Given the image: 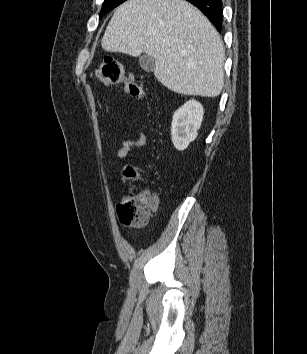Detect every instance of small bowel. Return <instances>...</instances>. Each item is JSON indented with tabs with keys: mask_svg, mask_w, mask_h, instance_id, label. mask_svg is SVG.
<instances>
[{
	"mask_svg": "<svg viewBox=\"0 0 307 354\" xmlns=\"http://www.w3.org/2000/svg\"><path fill=\"white\" fill-rule=\"evenodd\" d=\"M147 142V137L141 129L136 130V136L127 139L123 142L122 146L117 150L114 158V164L120 160L125 159L132 149L143 147Z\"/></svg>",
	"mask_w": 307,
	"mask_h": 354,
	"instance_id": "c3829d8e",
	"label": "small bowel"
}]
</instances>
